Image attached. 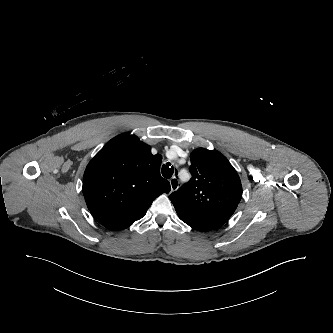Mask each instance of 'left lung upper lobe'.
<instances>
[{"mask_svg": "<svg viewBox=\"0 0 333 333\" xmlns=\"http://www.w3.org/2000/svg\"><path fill=\"white\" fill-rule=\"evenodd\" d=\"M188 183L173 192L171 202L189 206L233 204L242 197L240 178L228 159L216 150L195 149L191 155Z\"/></svg>", "mask_w": 333, "mask_h": 333, "instance_id": "5c2ea615", "label": "left lung upper lobe"}]
</instances>
